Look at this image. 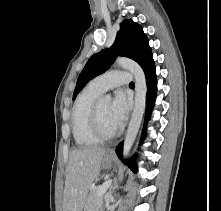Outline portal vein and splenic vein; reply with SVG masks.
Masks as SVG:
<instances>
[{"mask_svg":"<svg viewBox=\"0 0 221 211\" xmlns=\"http://www.w3.org/2000/svg\"><path fill=\"white\" fill-rule=\"evenodd\" d=\"M112 184V180H107L105 181L99 188L97 191V197H101L105 194V192L107 191V189L110 187V185Z\"/></svg>","mask_w":221,"mask_h":211,"instance_id":"1","label":"portal vein and splenic vein"}]
</instances>
